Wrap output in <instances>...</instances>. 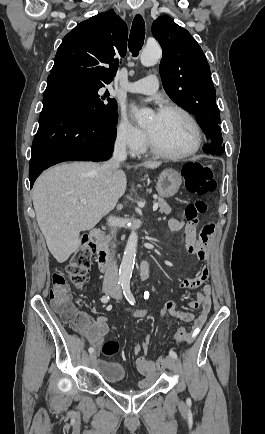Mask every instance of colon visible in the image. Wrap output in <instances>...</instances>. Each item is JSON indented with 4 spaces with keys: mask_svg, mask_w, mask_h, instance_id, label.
Returning a JSON list of instances; mask_svg holds the SVG:
<instances>
[{
    "mask_svg": "<svg viewBox=\"0 0 265 434\" xmlns=\"http://www.w3.org/2000/svg\"><path fill=\"white\" fill-rule=\"evenodd\" d=\"M187 167L184 170L186 181V190L196 195L212 194L216 188L214 180V171L210 166L198 165L187 161ZM207 211V205L203 201L190 203L184 211L178 214V218L193 221L198 214H204ZM92 263L91 254L86 251H79L74 254L72 263L65 269H57L51 277L49 292L53 308L59 313L60 320L64 327H74V311L71 303L66 298L69 290L67 279L76 287H83L86 276ZM189 338V332L186 328H180L176 334L175 340L178 343L184 342ZM100 351L104 356L115 355L119 351V343L116 341L105 342ZM156 361L160 369H165V358L162 355L157 356Z\"/></svg>",
    "mask_w": 265,
    "mask_h": 434,
    "instance_id": "5ec220e1",
    "label": "colon"
}]
</instances>
